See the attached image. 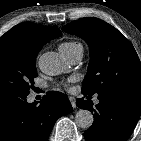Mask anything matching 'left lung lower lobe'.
Wrapping results in <instances>:
<instances>
[{"mask_svg": "<svg viewBox=\"0 0 141 141\" xmlns=\"http://www.w3.org/2000/svg\"><path fill=\"white\" fill-rule=\"evenodd\" d=\"M84 95V92H82ZM99 104L77 100V106L94 112L92 126L84 132L86 141H127L141 113V94L103 92Z\"/></svg>", "mask_w": 141, "mask_h": 141, "instance_id": "obj_1", "label": "left lung lower lobe"}]
</instances>
